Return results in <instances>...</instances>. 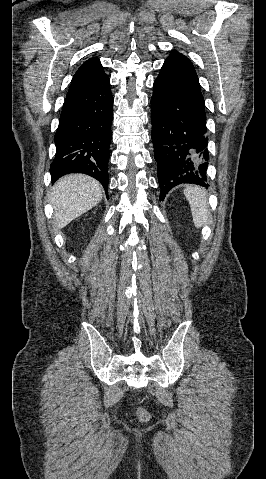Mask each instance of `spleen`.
Segmentation results:
<instances>
[{
    "instance_id": "3e777b00",
    "label": "spleen",
    "mask_w": 266,
    "mask_h": 479,
    "mask_svg": "<svg viewBox=\"0 0 266 479\" xmlns=\"http://www.w3.org/2000/svg\"><path fill=\"white\" fill-rule=\"evenodd\" d=\"M184 195L190 204L195 227L201 228L209 218L207 195L204 189L199 186L187 185Z\"/></svg>"
}]
</instances>
